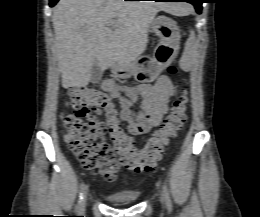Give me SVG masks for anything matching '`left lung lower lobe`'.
I'll return each mask as SVG.
<instances>
[{"label":"left lung lower lobe","instance_id":"left-lung-lower-lobe-1","mask_svg":"<svg viewBox=\"0 0 260 217\" xmlns=\"http://www.w3.org/2000/svg\"><path fill=\"white\" fill-rule=\"evenodd\" d=\"M154 1H170V2H188L195 6L198 14L201 13L202 10V0H154Z\"/></svg>","mask_w":260,"mask_h":217}]
</instances>
